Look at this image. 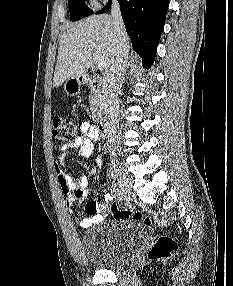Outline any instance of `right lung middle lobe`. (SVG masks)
<instances>
[{"label": "right lung middle lobe", "instance_id": "1", "mask_svg": "<svg viewBox=\"0 0 233 286\" xmlns=\"http://www.w3.org/2000/svg\"><path fill=\"white\" fill-rule=\"evenodd\" d=\"M68 5L71 21L80 20L93 13L84 0H68Z\"/></svg>", "mask_w": 233, "mask_h": 286}]
</instances>
